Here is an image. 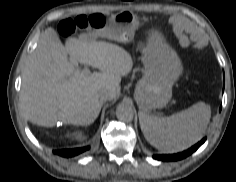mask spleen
<instances>
[{
  "label": "spleen",
  "instance_id": "spleen-1",
  "mask_svg": "<svg viewBox=\"0 0 236 182\" xmlns=\"http://www.w3.org/2000/svg\"><path fill=\"white\" fill-rule=\"evenodd\" d=\"M210 117V107L204 102L163 118L139 112L140 127L146 140L167 153L183 151L197 143L207 129Z\"/></svg>",
  "mask_w": 236,
  "mask_h": 182
}]
</instances>
